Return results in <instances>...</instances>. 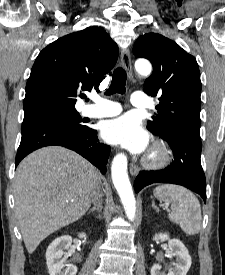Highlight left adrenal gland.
I'll return each instance as SVG.
<instances>
[{
  "label": "left adrenal gland",
  "mask_w": 225,
  "mask_h": 275,
  "mask_svg": "<svg viewBox=\"0 0 225 275\" xmlns=\"http://www.w3.org/2000/svg\"><path fill=\"white\" fill-rule=\"evenodd\" d=\"M152 208L159 212V208L155 205L154 201H152Z\"/></svg>",
  "instance_id": "a2214340"
}]
</instances>
